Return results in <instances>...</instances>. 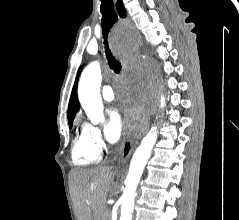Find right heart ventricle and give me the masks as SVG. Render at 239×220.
I'll use <instances>...</instances> for the list:
<instances>
[{
	"instance_id": "right-heart-ventricle-1",
	"label": "right heart ventricle",
	"mask_w": 239,
	"mask_h": 220,
	"mask_svg": "<svg viewBox=\"0 0 239 220\" xmlns=\"http://www.w3.org/2000/svg\"><path fill=\"white\" fill-rule=\"evenodd\" d=\"M72 162L77 166H88L97 163L100 158L98 152L90 143L85 127L82 125L74 140L71 151Z\"/></svg>"
}]
</instances>
